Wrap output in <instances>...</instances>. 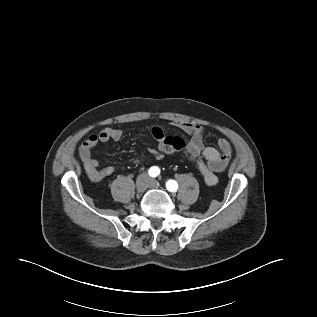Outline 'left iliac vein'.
Here are the masks:
<instances>
[{"mask_svg":"<svg viewBox=\"0 0 317 317\" xmlns=\"http://www.w3.org/2000/svg\"><path fill=\"white\" fill-rule=\"evenodd\" d=\"M148 186L150 188H158L159 187V183L156 180H154V179H150Z\"/></svg>","mask_w":317,"mask_h":317,"instance_id":"obj_1","label":"left iliac vein"}]
</instances>
